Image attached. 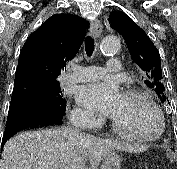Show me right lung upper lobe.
Segmentation results:
<instances>
[{
    "label": "right lung upper lobe",
    "mask_w": 177,
    "mask_h": 169,
    "mask_svg": "<svg viewBox=\"0 0 177 169\" xmlns=\"http://www.w3.org/2000/svg\"><path fill=\"white\" fill-rule=\"evenodd\" d=\"M86 22L71 14H55L26 40L15 80L30 78L57 82L61 68L73 59L85 37Z\"/></svg>",
    "instance_id": "right-lung-upper-lobe-1"
}]
</instances>
